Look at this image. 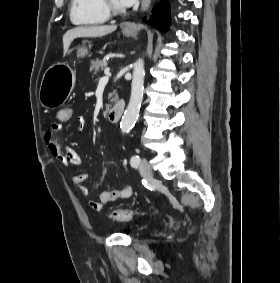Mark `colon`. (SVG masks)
I'll list each match as a JSON object with an SVG mask.
<instances>
[{
	"label": "colon",
	"instance_id": "colon-1",
	"mask_svg": "<svg viewBox=\"0 0 280 283\" xmlns=\"http://www.w3.org/2000/svg\"><path fill=\"white\" fill-rule=\"evenodd\" d=\"M72 108L70 105H63L56 111V119L58 122H71L72 121ZM134 212L124 209L114 210L110 213L109 218L115 221H128L133 218Z\"/></svg>",
	"mask_w": 280,
	"mask_h": 283
}]
</instances>
